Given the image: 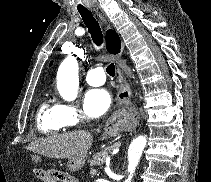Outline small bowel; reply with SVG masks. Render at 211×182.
Listing matches in <instances>:
<instances>
[{
	"mask_svg": "<svg viewBox=\"0 0 211 182\" xmlns=\"http://www.w3.org/2000/svg\"><path fill=\"white\" fill-rule=\"evenodd\" d=\"M43 177H44V171H41L40 172V178L43 180ZM68 181L67 182H77L76 179L72 178L71 176L68 175ZM44 181V180H43Z\"/></svg>",
	"mask_w": 211,
	"mask_h": 182,
	"instance_id": "small-bowel-1",
	"label": "small bowel"
}]
</instances>
